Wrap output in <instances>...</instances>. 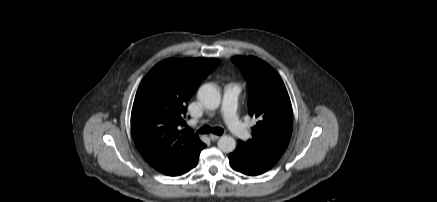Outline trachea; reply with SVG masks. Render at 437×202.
<instances>
[{
    "mask_svg": "<svg viewBox=\"0 0 437 202\" xmlns=\"http://www.w3.org/2000/svg\"><path fill=\"white\" fill-rule=\"evenodd\" d=\"M198 133L200 134H208L210 132L216 134V135H222L224 130L220 127H213L211 128L208 125H204L203 127H201L199 130H197Z\"/></svg>",
    "mask_w": 437,
    "mask_h": 202,
    "instance_id": "1",
    "label": "trachea"
}]
</instances>
